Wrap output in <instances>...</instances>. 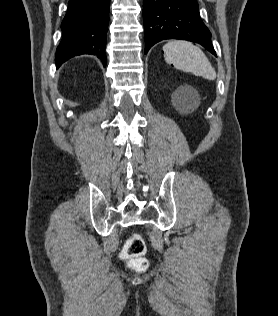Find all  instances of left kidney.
Wrapping results in <instances>:
<instances>
[{
	"label": "left kidney",
	"instance_id": "left-kidney-1",
	"mask_svg": "<svg viewBox=\"0 0 278 316\" xmlns=\"http://www.w3.org/2000/svg\"><path fill=\"white\" fill-rule=\"evenodd\" d=\"M197 96V92L194 88L188 85L179 87L175 92V98L178 101H188Z\"/></svg>",
	"mask_w": 278,
	"mask_h": 316
}]
</instances>
